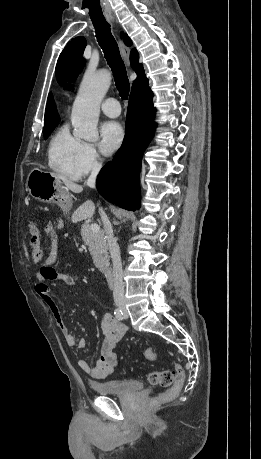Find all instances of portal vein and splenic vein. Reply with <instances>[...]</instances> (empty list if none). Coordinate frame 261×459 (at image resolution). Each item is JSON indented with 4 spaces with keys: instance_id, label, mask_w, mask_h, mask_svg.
<instances>
[{
    "instance_id": "obj_1",
    "label": "portal vein and splenic vein",
    "mask_w": 261,
    "mask_h": 459,
    "mask_svg": "<svg viewBox=\"0 0 261 459\" xmlns=\"http://www.w3.org/2000/svg\"><path fill=\"white\" fill-rule=\"evenodd\" d=\"M90 228L93 233H98L100 231V226L98 224H91Z\"/></svg>"
}]
</instances>
